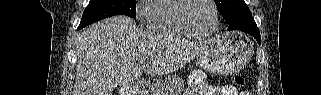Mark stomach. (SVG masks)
<instances>
[{
    "mask_svg": "<svg viewBox=\"0 0 321 95\" xmlns=\"http://www.w3.org/2000/svg\"><path fill=\"white\" fill-rule=\"evenodd\" d=\"M253 47L240 33H228L213 38L197 55L199 66L218 74L241 70L251 59Z\"/></svg>",
    "mask_w": 321,
    "mask_h": 95,
    "instance_id": "1",
    "label": "stomach"
}]
</instances>
